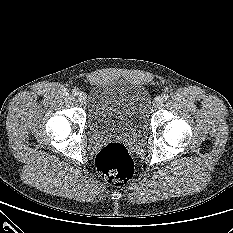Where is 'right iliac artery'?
<instances>
[{
    "instance_id": "82829eb1",
    "label": "right iliac artery",
    "mask_w": 233,
    "mask_h": 233,
    "mask_svg": "<svg viewBox=\"0 0 233 233\" xmlns=\"http://www.w3.org/2000/svg\"><path fill=\"white\" fill-rule=\"evenodd\" d=\"M72 94H73V95H78V94H79V91H78L77 89H73V90H72Z\"/></svg>"
}]
</instances>
